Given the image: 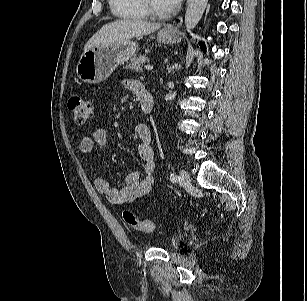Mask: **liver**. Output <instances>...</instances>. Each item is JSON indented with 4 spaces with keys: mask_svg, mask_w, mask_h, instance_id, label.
<instances>
[{
    "mask_svg": "<svg viewBox=\"0 0 307 301\" xmlns=\"http://www.w3.org/2000/svg\"><path fill=\"white\" fill-rule=\"evenodd\" d=\"M160 27V23H151L144 20L114 21L97 31L84 46V51L96 46H111L121 41L149 35Z\"/></svg>",
    "mask_w": 307,
    "mask_h": 301,
    "instance_id": "obj_1",
    "label": "liver"
}]
</instances>
